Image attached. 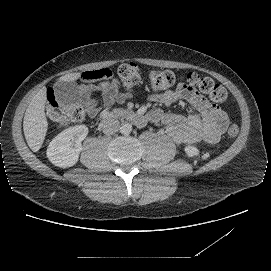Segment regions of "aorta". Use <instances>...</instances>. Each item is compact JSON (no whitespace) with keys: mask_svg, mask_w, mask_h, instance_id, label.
I'll list each match as a JSON object with an SVG mask.
<instances>
[{"mask_svg":"<svg viewBox=\"0 0 271 271\" xmlns=\"http://www.w3.org/2000/svg\"><path fill=\"white\" fill-rule=\"evenodd\" d=\"M120 133L124 135H128L132 131V125L128 122H123L119 128Z\"/></svg>","mask_w":271,"mask_h":271,"instance_id":"1","label":"aorta"}]
</instances>
